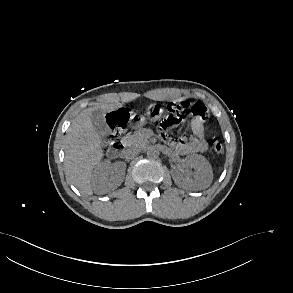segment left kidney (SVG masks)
<instances>
[{
    "label": "left kidney",
    "instance_id": "1",
    "mask_svg": "<svg viewBox=\"0 0 293 293\" xmlns=\"http://www.w3.org/2000/svg\"><path fill=\"white\" fill-rule=\"evenodd\" d=\"M186 166L193 168V179L186 178L181 169L172 171V177L179 187L188 186L194 190L208 188L213 179V172L209 162L203 157L186 159Z\"/></svg>",
    "mask_w": 293,
    "mask_h": 293
}]
</instances>
